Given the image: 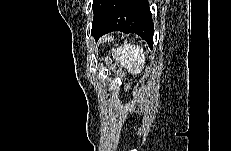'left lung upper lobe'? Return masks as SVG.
Wrapping results in <instances>:
<instances>
[{
    "label": "left lung upper lobe",
    "mask_w": 231,
    "mask_h": 151,
    "mask_svg": "<svg viewBox=\"0 0 231 151\" xmlns=\"http://www.w3.org/2000/svg\"><path fill=\"white\" fill-rule=\"evenodd\" d=\"M109 1L110 0H93L92 8L94 12V17H93L92 29H94L99 23Z\"/></svg>",
    "instance_id": "obj_1"
}]
</instances>
